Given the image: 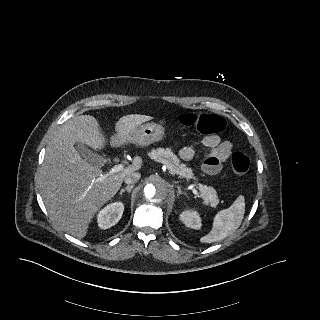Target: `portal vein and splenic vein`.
Wrapping results in <instances>:
<instances>
[{"mask_svg":"<svg viewBox=\"0 0 320 320\" xmlns=\"http://www.w3.org/2000/svg\"><path fill=\"white\" fill-rule=\"evenodd\" d=\"M124 169V165L122 164H118V165H115L113 166V168L110 170V174L112 173H117V172H120ZM192 190V192L199 197V193L196 189H193V188H190Z\"/></svg>","mask_w":320,"mask_h":320,"instance_id":"18ae733b","label":"portal vein and splenic vein"}]
</instances>
